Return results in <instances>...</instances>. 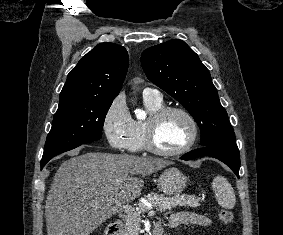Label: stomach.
<instances>
[{"label":"stomach","mask_w":283,"mask_h":235,"mask_svg":"<svg viewBox=\"0 0 283 235\" xmlns=\"http://www.w3.org/2000/svg\"><path fill=\"white\" fill-rule=\"evenodd\" d=\"M186 176L175 167L164 170L158 179V188L166 195H178L186 187Z\"/></svg>","instance_id":"obj_1"}]
</instances>
